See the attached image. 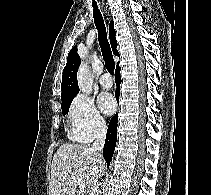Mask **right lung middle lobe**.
I'll use <instances>...</instances> for the list:
<instances>
[{
	"label": "right lung middle lobe",
	"mask_w": 211,
	"mask_h": 195,
	"mask_svg": "<svg viewBox=\"0 0 211 195\" xmlns=\"http://www.w3.org/2000/svg\"><path fill=\"white\" fill-rule=\"evenodd\" d=\"M71 102L72 101H68L61 104L62 112L64 115L68 113Z\"/></svg>",
	"instance_id": "dd1d6c3e"
}]
</instances>
